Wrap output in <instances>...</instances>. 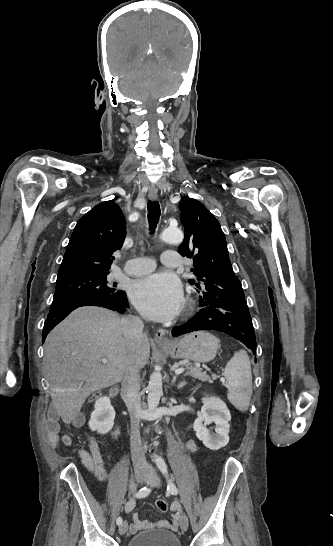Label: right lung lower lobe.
I'll use <instances>...</instances> for the list:
<instances>
[{
    "label": "right lung lower lobe",
    "instance_id": "right-lung-lower-lobe-1",
    "mask_svg": "<svg viewBox=\"0 0 333 546\" xmlns=\"http://www.w3.org/2000/svg\"><path fill=\"white\" fill-rule=\"evenodd\" d=\"M87 305L105 307L123 314L128 307V301L123 291H118L113 295H84L53 300L43 327V341L48 333L71 311Z\"/></svg>",
    "mask_w": 333,
    "mask_h": 546
}]
</instances>
